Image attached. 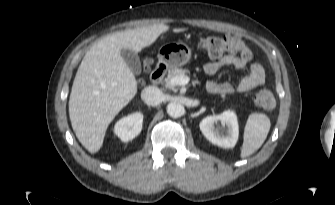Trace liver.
<instances>
[{
  "instance_id": "6515ba94",
  "label": "liver",
  "mask_w": 335,
  "mask_h": 205,
  "mask_svg": "<svg viewBox=\"0 0 335 205\" xmlns=\"http://www.w3.org/2000/svg\"><path fill=\"white\" fill-rule=\"evenodd\" d=\"M169 29L156 24L117 32L86 52L72 85L69 116L76 137L90 153L100 150L108 125L137 93L136 78L121 49L140 52ZM183 31L173 29L175 33Z\"/></svg>"
}]
</instances>
